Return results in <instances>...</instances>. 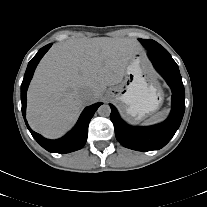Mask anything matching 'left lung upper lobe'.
Instances as JSON below:
<instances>
[{
    "mask_svg": "<svg viewBox=\"0 0 207 207\" xmlns=\"http://www.w3.org/2000/svg\"><path fill=\"white\" fill-rule=\"evenodd\" d=\"M139 41L147 48L148 51H164L166 50L163 48L159 43L151 39H139Z\"/></svg>",
    "mask_w": 207,
    "mask_h": 207,
    "instance_id": "left-lung-upper-lobe-1",
    "label": "left lung upper lobe"
}]
</instances>
